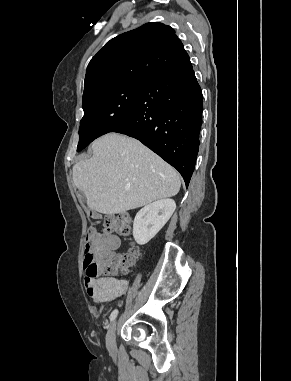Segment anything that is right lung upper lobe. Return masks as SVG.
Here are the masks:
<instances>
[{"label": "right lung upper lobe", "mask_w": 291, "mask_h": 381, "mask_svg": "<svg viewBox=\"0 0 291 381\" xmlns=\"http://www.w3.org/2000/svg\"><path fill=\"white\" fill-rule=\"evenodd\" d=\"M184 51L173 28L163 23L151 22L123 33L91 59L82 100L119 84L146 81Z\"/></svg>", "instance_id": "cb5924a9"}]
</instances>
